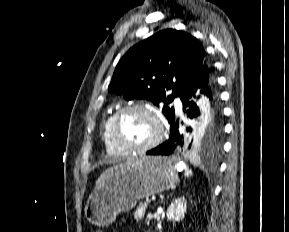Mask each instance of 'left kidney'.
<instances>
[{
  "mask_svg": "<svg viewBox=\"0 0 289 232\" xmlns=\"http://www.w3.org/2000/svg\"><path fill=\"white\" fill-rule=\"evenodd\" d=\"M187 209V201L185 197H179L175 199L167 208V218L168 220L174 222H179L184 218Z\"/></svg>",
  "mask_w": 289,
  "mask_h": 232,
  "instance_id": "1",
  "label": "left kidney"
}]
</instances>
